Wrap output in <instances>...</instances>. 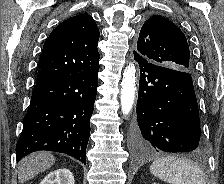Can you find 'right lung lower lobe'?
Masks as SVG:
<instances>
[{"label":"right lung lower lobe","instance_id":"obj_1","mask_svg":"<svg viewBox=\"0 0 224 184\" xmlns=\"http://www.w3.org/2000/svg\"><path fill=\"white\" fill-rule=\"evenodd\" d=\"M98 71L99 66L36 83L16 145L17 161L29 153L47 150L86 164Z\"/></svg>","mask_w":224,"mask_h":184}]
</instances>
